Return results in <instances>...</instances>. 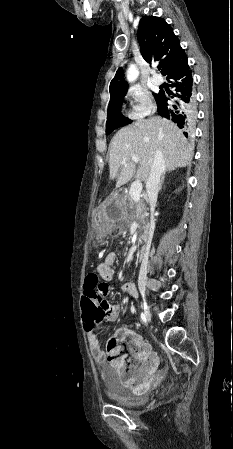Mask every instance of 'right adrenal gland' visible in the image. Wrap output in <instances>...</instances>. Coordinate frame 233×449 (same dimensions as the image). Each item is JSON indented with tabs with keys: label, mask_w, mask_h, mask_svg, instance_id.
<instances>
[{
	"label": "right adrenal gland",
	"mask_w": 233,
	"mask_h": 449,
	"mask_svg": "<svg viewBox=\"0 0 233 449\" xmlns=\"http://www.w3.org/2000/svg\"><path fill=\"white\" fill-rule=\"evenodd\" d=\"M168 170H169V169H165V171H164L163 174H162L161 181H160V184H159V190L162 189V185H163V183H164L165 174L167 173ZM169 171H170V170H169Z\"/></svg>",
	"instance_id": "2a0ac1e0"
}]
</instances>
